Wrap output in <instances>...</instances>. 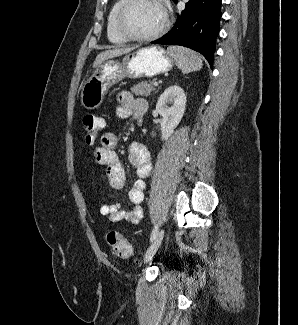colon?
<instances>
[{"instance_id": "1", "label": "colon", "mask_w": 298, "mask_h": 325, "mask_svg": "<svg viewBox=\"0 0 298 325\" xmlns=\"http://www.w3.org/2000/svg\"><path fill=\"white\" fill-rule=\"evenodd\" d=\"M83 125L85 129V141L88 145H93L101 129L104 127V120L97 115L87 114L83 118ZM107 242L117 257L127 259L134 255V249L130 242L117 231L112 230L108 232Z\"/></svg>"}]
</instances>
